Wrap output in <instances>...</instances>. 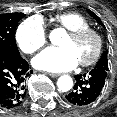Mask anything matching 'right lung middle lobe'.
Returning <instances> with one entry per match:
<instances>
[{
    "mask_svg": "<svg viewBox=\"0 0 117 117\" xmlns=\"http://www.w3.org/2000/svg\"><path fill=\"white\" fill-rule=\"evenodd\" d=\"M24 16L23 13L0 15V52L19 53L15 42V27Z\"/></svg>",
    "mask_w": 117,
    "mask_h": 117,
    "instance_id": "obj_1",
    "label": "right lung middle lobe"
}]
</instances>
